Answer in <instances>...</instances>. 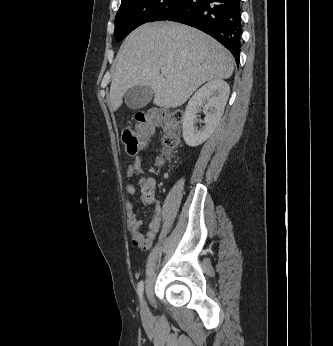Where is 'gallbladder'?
<instances>
[{
    "instance_id": "obj_1",
    "label": "gallbladder",
    "mask_w": 333,
    "mask_h": 346,
    "mask_svg": "<svg viewBox=\"0 0 333 346\" xmlns=\"http://www.w3.org/2000/svg\"><path fill=\"white\" fill-rule=\"evenodd\" d=\"M153 90L147 86H134L124 94V102L128 108L137 110L145 107L153 97Z\"/></svg>"
}]
</instances>
